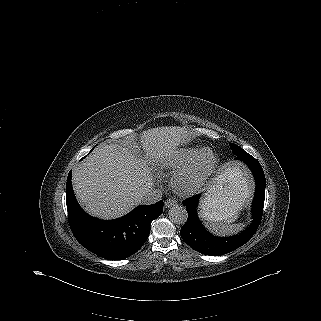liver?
I'll return each mask as SVG.
<instances>
[{
    "label": "liver",
    "instance_id": "obj_1",
    "mask_svg": "<svg viewBox=\"0 0 321 321\" xmlns=\"http://www.w3.org/2000/svg\"><path fill=\"white\" fill-rule=\"evenodd\" d=\"M184 127L149 129L140 136L142 148L156 156L190 138ZM80 205L92 216L115 219L141 204V196L153 187L146 162L125 144L111 143L95 149L72 173ZM212 203L219 204L220 200Z\"/></svg>",
    "mask_w": 321,
    "mask_h": 321
}]
</instances>
